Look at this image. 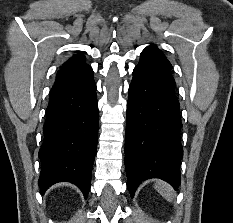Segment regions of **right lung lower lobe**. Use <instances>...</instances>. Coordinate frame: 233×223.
Segmentation results:
<instances>
[{
  "mask_svg": "<svg viewBox=\"0 0 233 223\" xmlns=\"http://www.w3.org/2000/svg\"><path fill=\"white\" fill-rule=\"evenodd\" d=\"M93 70L85 62L61 68L50 92L39 151L41 193L53 184H76L85 198L91 186L98 135Z\"/></svg>",
  "mask_w": 233,
  "mask_h": 223,
  "instance_id": "obj_1",
  "label": "right lung lower lobe"
}]
</instances>
